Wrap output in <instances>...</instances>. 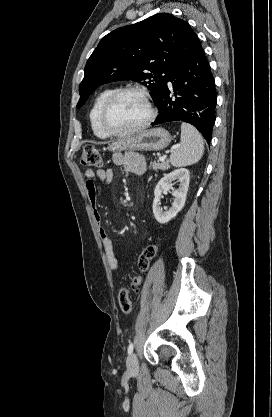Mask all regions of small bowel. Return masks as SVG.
<instances>
[{
    "label": "small bowel",
    "instance_id": "small-bowel-1",
    "mask_svg": "<svg viewBox=\"0 0 272 417\" xmlns=\"http://www.w3.org/2000/svg\"><path fill=\"white\" fill-rule=\"evenodd\" d=\"M113 163L117 168L123 169L135 175H142L146 170L144 157L133 152L115 153L113 155ZM85 176L87 178L85 182L86 193L92 206L95 220L98 224L99 234L103 242L109 267L115 272H121L122 270L120 264L113 252L112 240L102 225V217L97 209V187L94 182V179L98 178L106 184L111 183L114 177V169H88L85 172Z\"/></svg>",
    "mask_w": 272,
    "mask_h": 417
}]
</instances>
